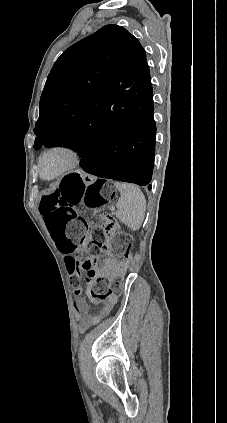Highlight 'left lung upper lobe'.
Wrapping results in <instances>:
<instances>
[{
  "mask_svg": "<svg viewBox=\"0 0 227 423\" xmlns=\"http://www.w3.org/2000/svg\"><path fill=\"white\" fill-rule=\"evenodd\" d=\"M151 93L141 44L123 27L106 25L55 62L40 98L34 149L84 137L108 112L140 113Z\"/></svg>",
  "mask_w": 227,
  "mask_h": 423,
  "instance_id": "5c2ea615",
  "label": "left lung upper lobe"
}]
</instances>
